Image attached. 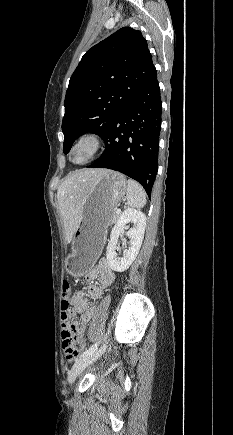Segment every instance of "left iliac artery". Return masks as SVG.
<instances>
[{"instance_id": "obj_1", "label": "left iliac artery", "mask_w": 233, "mask_h": 435, "mask_svg": "<svg viewBox=\"0 0 233 435\" xmlns=\"http://www.w3.org/2000/svg\"><path fill=\"white\" fill-rule=\"evenodd\" d=\"M97 347H98V343L93 344L88 350H86L81 354V357L93 353L97 349Z\"/></svg>"}]
</instances>
